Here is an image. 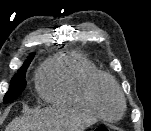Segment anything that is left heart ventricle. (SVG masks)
I'll use <instances>...</instances> for the list:
<instances>
[{"instance_id":"1","label":"left heart ventricle","mask_w":151,"mask_h":131,"mask_svg":"<svg viewBox=\"0 0 151 131\" xmlns=\"http://www.w3.org/2000/svg\"><path fill=\"white\" fill-rule=\"evenodd\" d=\"M101 105L108 116L115 117L120 112V100L112 90L108 89L103 93Z\"/></svg>"}]
</instances>
